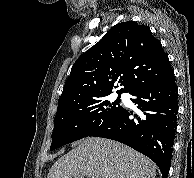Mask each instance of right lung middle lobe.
Here are the masks:
<instances>
[{
	"label": "right lung middle lobe",
	"mask_w": 194,
	"mask_h": 178,
	"mask_svg": "<svg viewBox=\"0 0 194 178\" xmlns=\"http://www.w3.org/2000/svg\"><path fill=\"white\" fill-rule=\"evenodd\" d=\"M107 96H99L58 110L54 118L50 150L89 136L118 113L122 109L119 105L120 99L110 102Z\"/></svg>",
	"instance_id": "obj_1"
}]
</instances>
